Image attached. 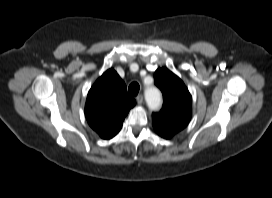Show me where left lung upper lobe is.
<instances>
[{"mask_svg":"<svg viewBox=\"0 0 272 198\" xmlns=\"http://www.w3.org/2000/svg\"><path fill=\"white\" fill-rule=\"evenodd\" d=\"M154 80L162 91L163 106L152 114L153 126L158 134L170 138L188 125L192 97L182 80L167 68H158Z\"/></svg>","mask_w":272,"mask_h":198,"instance_id":"obj_1","label":"left lung upper lobe"}]
</instances>
